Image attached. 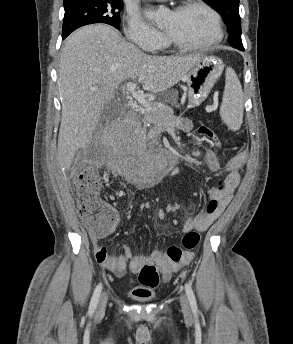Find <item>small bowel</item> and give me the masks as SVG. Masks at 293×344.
Here are the masks:
<instances>
[{
    "instance_id": "c3829d8e",
    "label": "small bowel",
    "mask_w": 293,
    "mask_h": 344,
    "mask_svg": "<svg viewBox=\"0 0 293 344\" xmlns=\"http://www.w3.org/2000/svg\"><path fill=\"white\" fill-rule=\"evenodd\" d=\"M179 128L183 131H190L192 124L187 118H181L179 120ZM195 155L201 157L203 164L209 171L213 173L222 171L225 174L224 189L222 191L213 189L208 191L209 198L217 201L216 211L211 214L200 212L188 218L183 224L184 231L198 230L203 232L213 224L231 202L235 191L240 185L241 177L239 171L244 166L246 157L244 153L237 154L224 166H221L217 156L211 150L196 151ZM91 243L96 261L119 278L123 277L127 271L138 273L144 266L152 264L161 266L165 277L169 278L172 273L188 266L194 258V253L190 251L186 252L180 261L172 262L165 259L162 252L158 249L152 250L147 256L135 255L128 245L122 246V254L109 255L107 249L99 243V238L92 237ZM131 295L135 298L148 297L150 291L146 287H136L131 291Z\"/></svg>"
}]
</instances>
